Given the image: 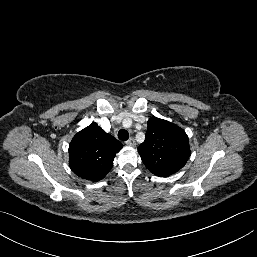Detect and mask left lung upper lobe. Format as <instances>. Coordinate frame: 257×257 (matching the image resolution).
<instances>
[{"label":"left lung upper lobe","mask_w":257,"mask_h":257,"mask_svg":"<svg viewBox=\"0 0 257 257\" xmlns=\"http://www.w3.org/2000/svg\"><path fill=\"white\" fill-rule=\"evenodd\" d=\"M138 152L151 173L167 177L179 171L188 161V136L177 125L152 117L148 120L145 141L138 147Z\"/></svg>","instance_id":"1"}]
</instances>
